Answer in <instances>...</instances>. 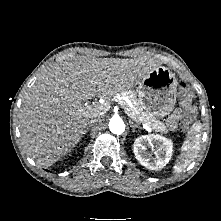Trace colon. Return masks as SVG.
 Masks as SVG:
<instances>
[{
  "label": "colon",
  "mask_w": 221,
  "mask_h": 221,
  "mask_svg": "<svg viewBox=\"0 0 221 221\" xmlns=\"http://www.w3.org/2000/svg\"><path fill=\"white\" fill-rule=\"evenodd\" d=\"M179 89L184 100H190L192 97L191 90L183 81L179 82ZM195 116V110L192 107L186 108L182 113L181 126L184 131H187Z\"/></svg>",
  "instance_id": "1"
}]
</instances>
